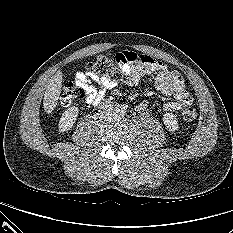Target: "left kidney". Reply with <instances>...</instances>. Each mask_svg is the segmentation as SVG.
Segmentation results:
<instances>
[{
	"label": "left kidney",
	"mask_w": 233,
	"mask_h": 233,
	"mask_svg": "<svg viewBox=\"0 0 233 233\" xmlns=\"http://www.w3.org/2000/svg\"><path fill=\"white\" fill-rule=\"evenodd\" d=\"M163 122H164L166 128L170 132H175L179 128L178 120H177L176 116L173 113H165L163 115Z\"/></svg>",
	"instance_id": "5707ae66"
}]
</instances>
